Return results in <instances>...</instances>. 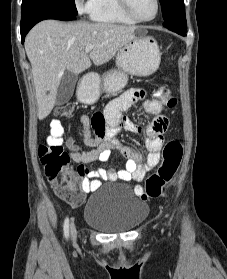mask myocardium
Segmentation results:
<instances>
[{"label": "myocardium", "instance_id": "myocardium-1", "mask_svg": "<svg viewBox=\"0 0 227 279\" xmlns=\"http://www.w3.org/2000/svg\"><path fill=\"white\" fill-rule=\"evenodd\" d=\"M118 2L120 4L121 8L124 10V12L129 17H131L133 20H135L136 22H150V21H153L157 17V15L159 13V9H160L159 0H154V2H155V12H154L153 16L150 17V18H140L134 13L129 0H118Z\"/></svg>", "mask_w": 227, "mask_h": 279}]
</instances>
